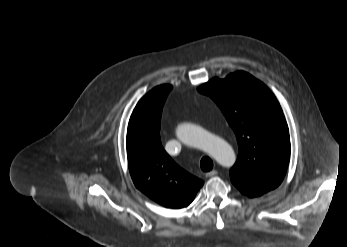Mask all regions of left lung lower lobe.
Segmentation results:
<instances>
[{
  "mask_svg": "<svg viewBox=\"0 0 347 247\" xmlns=\"http://www.w3.org/2000/svg\"><path fill=\"white\" fill-rule=\"evenodd\" d=\"M236 187L240 190L242 194L247 195L248 197H257L266 193L261 190L251 189L242 185H236Z\"/></svg>",
  "mask_w": 347,
  "mask_h": 247,
  "instance_id": "1",
  "label": "left lung lower lobe"
}]
</instances>
